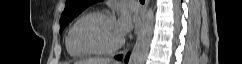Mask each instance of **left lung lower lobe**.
I'll list each match as a JSON object with an SVG mask.
<instances>
[{
  "mask_svg": "<svg viewBox=\"0 0 242 64\" xmlns=\"http://www.w3.org/2000/svg\"><path fill=\"white\" fill-rule=\"evenodd\" d=\"M115 58L118 59V60H121L122 59V55L115 56ZM128 58H129V54L126 55L125 63L128 62Z\"/></svg>",
  "mask_w": 242,
  "mask_h": 64,
  "instance_id": "obj_1",
  "label": "left lung lower lobe"
}]
</instances>
